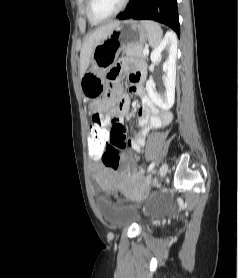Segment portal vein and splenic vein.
<instances>
[{
	"instance_id": "portal-vein-and-splenic-vein-1",
	"label": "portal vein and splenic vein",
	"mask_w": 238,
	"mask_h": 278,
	"mask_svg": "<svg viewBox=\"0 0 238 278\" xmlns=\"http://www.w3.org/2000/svg\"><path fill=\"white\" fill-rule=\"evenodd\" d=\"M143 53H144V55H148V54H149V49H148V48H145V49L143 50Z\"/></svg>"
}]
</instances>
